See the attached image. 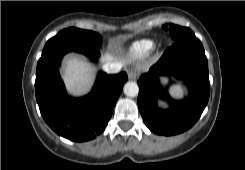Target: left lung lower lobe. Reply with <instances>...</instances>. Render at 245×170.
I'll list each match as a JSON object with an SVG mask.
<instances>
[{
  "label": "left lung lower lobe",
  "mask_w": 245,
  "mask_h": 170,
  "mask_svg": "<svg viewBox=\"0 0 245 170\" xmlns=\"http://www.w3.org/2000/svg\"><path fill=\"white\" fill-rule=\"evenodd\" d=\"M175 74L189 87V97L172 100L160 87L158 77ZM138 106L146 126L158 135H176L191 128L201 116L210 94L207 58L203 46L176 41L150 71L138 80ZM157 98L170 108L157 107Z\"/></svg>",
  "instance_id": "left-lung-lower-lobe-1"
}]
</instances>
